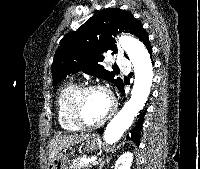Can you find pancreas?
I'll list each match as a JSON object with an SVG mask.
<instances>
[{"instance_id": "1", "label": "pancreas", "mask_w": 200, "mask_h": 169, "mask_svg": "<svg viewBox=\"0 0 200 169\" xmlns=\"http://www.w3.org/2000/svg\"><path fill=\"white\" fill-rule=\"evenodd\" d=\"M91 167V164L86 163L80 159H76L72 162L69 169H89Z\"/></svg>"}]
</instances>
